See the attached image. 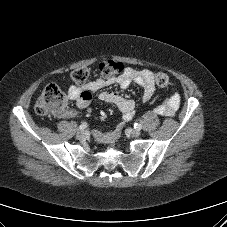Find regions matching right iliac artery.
<instances>
[{"label":"right iliac artery","mask_w":227,"mask_h":227,"mask_svg":"<svg viewBox=\"0 0 227 227\" xmlns=\"http://www.w3.org/2000/svg\"><path fill=\"white\" fill-rule=\"evenodd\" d=\"M88 127V124L87 123H82L80 126H79V130H84Z\"/></svg>","instance_id":"82829eb1"}]
</instances>
